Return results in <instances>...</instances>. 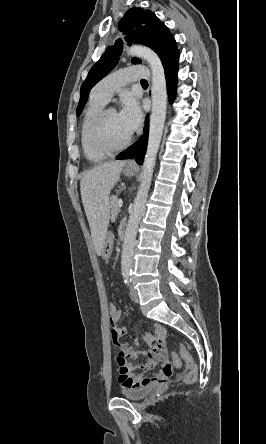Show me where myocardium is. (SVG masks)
Here are the masks:
<instances>
[{
	"instance_id": "f54148a6",
	"label": "myocardium",
	"mask_w": 266,
	"mask_h": 444,
	"mask_svg": "<svg viewBox=\"0 0 266 444\" xmlns=\"http://www.w3.org/2000/svg\"><path fill=\"white\" fill-rule=\"evenodd\" d=\"M116 112L114 108L107 107L103 108L92 120L89 129H88V142L89 145L96 151L103 152V153H115L119 152L126 147H128L132 141V133L128 136V138L120 145L117 146H110L108 144L102 143L99 140L98 133L101 124L103 123L106 116L111 113Z\"/></svg>"
}]
</instances>
